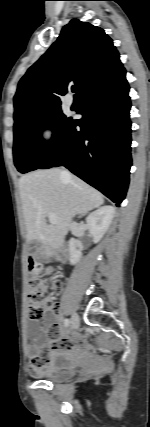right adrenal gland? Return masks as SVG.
Instances as JSON below:
<instances>
[{
  "label": "right adrenal gland",
  "mask_w": 150,
  "mask_h": 427,
  "mask_svg": "<svg viewBox=\"0 0 150 427\" xmlns=\"http://www.w3.org/2000/svg\"><path fill=\"white\" fill-rule=\"evenodd\" d=\"M86 213L82 214L80 217L84 216Z\"/></svg>",
  "instance_id": "obj_1"
}]
</instances>
